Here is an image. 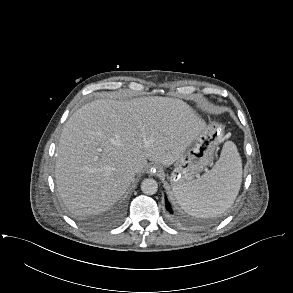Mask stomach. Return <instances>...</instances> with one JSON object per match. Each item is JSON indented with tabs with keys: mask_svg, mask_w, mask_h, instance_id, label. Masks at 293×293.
<instances>
[{
	"mask_svg": "<svg viewBox=\"0 0 293 293\" xmlns=\"http://www.w3.org/2000/svg\"><path fill=\"white\" fill-rule=\"evenodd\" d=\"M223 136V127L219 123L205 125L204 130L174 162L170 176L173 191L200 178V173L212 162Z\"/></svg>",
	"mask_w": 293,
	"mask_h": 293,
	"instance_id": "0dacf381",
	"label": "stomach"
}]
</instances>
